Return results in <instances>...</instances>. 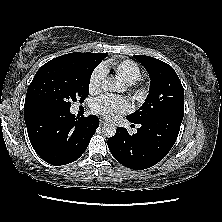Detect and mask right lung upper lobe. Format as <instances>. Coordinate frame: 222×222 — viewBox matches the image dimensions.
I'll return each instance as SVG.
<instances>
[{
	"mask_svg": "<svg viewBox=\"0 0 222 222\" xmlns=\"http://www.w3.org/2000/svg\"><path fill=\"white\" fill-rule=\"evenodd\" d=\"M107 53H70V54H66V55H95V56H105ZM40 112H38L28 101V99L26 98L25 100V105H24V118L25 121L28 120L29 118H31L32 116H35L37 114H39Z\"/></svg>",
	"mask_w": 222,
	"mask_h": 222,
	"instance_id": "obj_1",
	"label": "right lung upper lobe"
}]
</instances>
